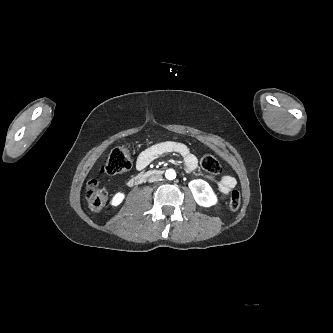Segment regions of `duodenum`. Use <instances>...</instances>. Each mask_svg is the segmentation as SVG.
<instances>
[{
  "label": "duodenum",
  "mask_w": 333,
  "mask_h": 333,
  "mask_svg": "<svg viewBox=\"0 0 333 333\" xmlns=\"http://www.w3.org/2000/svg\"><path fill=\"white\" fill-rule=\"evenodd\" d=\"M163 174V171L161 169H152L146 172L139 173L137 175L132 176L129 181L128 185L133 187V186H138L142 183H144L148 178L151 177H158Z\"/></svg>",
  "instance_id": "obj_1"
}]
</instances>
